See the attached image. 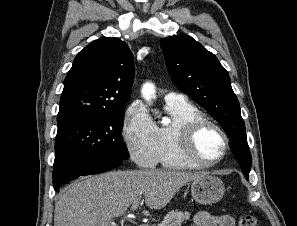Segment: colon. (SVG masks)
Instances as JSON below:
<instances>
[{"mask_svg":"<svg viewBox=\"0 0 297 226\" xmlns=\"http://www.w3.org/2000/svg\"><path fill=\"white\" fill-rule=\"evenodd\" d=\"M239 226H257V219L249 214H243L239 219Z\"/></svg>","mask_w":297,"mask_h":226,"instance_id":"obj_1","label":"colon"}]
</instances>
